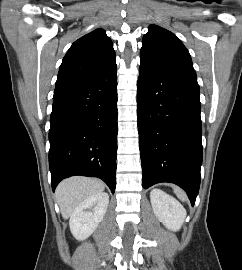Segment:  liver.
<instances>
[{
    "label": "liver",
    "instance_id": "liver-1",
    "mask_svg": "<svg viewBox=\"0 0 242 270\" xmlns=\"http://www.w3.org/2000/svg\"><path fill=\"white\" fill-rule=\"evenodd\" d=\"M105 184L87 177H71L63 180L56 189V199L62 217L68 219L74 210L88 197L101 193Z\"/></svg>",
    "mask_w": 242,
    "mask_h": 270
}]
</instances>
